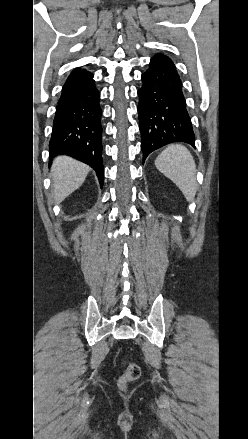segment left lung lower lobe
Segmentation results:
<instances>
[{
    "label": "left lung lower lobe",
    "instance_id": "left-lung-lower-lobe-1",
    "mask_svg": "<svg viewBox=\"0 0 248 439\" xmlns=\"http://www.w3.org/2000/svg\"><path fill=\"white\" fill-rule=\"evenodd\" d=\"M141 79L138 113L143 163L151 152L169 143L185 142L195 147L182 82L172 60L155 55Z\"/></svg>",
    "mask_w": 248,
    "mask_h": 439
}]
</instances>
